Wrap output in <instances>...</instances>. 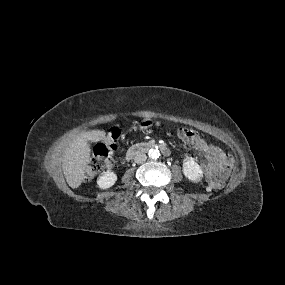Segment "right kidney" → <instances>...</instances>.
<instances>
[{
  "instance_id": "obj_1",
  "label": "right kidney",
  "mask_w": 285,
  "mask_h": 285,
  "mask_svg": "<svg viewBox=\"0 0 285 285\" xmlns=\"http://www.w3.org/2000/svg\"><path fill=\"white\" fill-rule=\"evenodd\" d=\"M116 181L117 175L114 172H105L98 178L97 184L101 189H108L112 187Z\"/></svg>"
}]
</instances>
